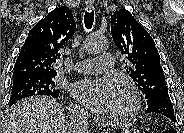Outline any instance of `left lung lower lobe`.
I'll use <instances>...</instances> for the list:
<instances>
[{"label":"left lung lower lobe","instance_id":"1","mask_svg":"<svg viewBox=\"0 0 184 133\" xmlns=\"http://www.w3.org/2000/svg\"><path fill=\"white\" fill-rule=\"evenodd\" d=\"M146 113H158L168 117L173 122H176L174 116L173 105L169 98H161L148 104Z\"/></svg>","mask_w":184,"mask_h":133}]
</instances>
